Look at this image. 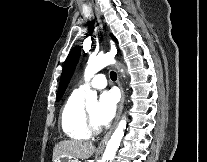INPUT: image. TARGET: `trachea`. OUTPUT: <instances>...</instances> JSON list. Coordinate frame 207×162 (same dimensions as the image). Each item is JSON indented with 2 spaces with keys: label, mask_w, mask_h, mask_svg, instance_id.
<instances>
[{
  "label": "trachea",
  "mask_w": 207,
  "mask_h": 162,
  "mask_svg": "<svg viewBox=\"0 0 207 162\" xmlns=\"http://www.w3.org/2000/svg\"><path fill=\"white\" fill-rule=\"evenodd\" d=\"M110 78H111L113 81H115V80L117 79V75H116V73H115L114 71H111V73H110Z\"/></svg>",
  "instance_id": "1"
}]
</instances>
